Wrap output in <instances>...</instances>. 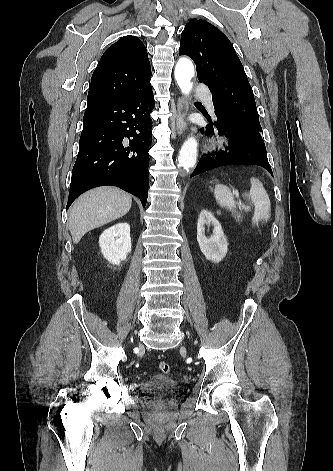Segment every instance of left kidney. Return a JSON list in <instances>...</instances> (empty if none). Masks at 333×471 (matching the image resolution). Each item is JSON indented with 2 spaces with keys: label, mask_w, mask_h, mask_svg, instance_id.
I'll list each match as a JSON object with an SVG mask.
<instances>
[{
  "label": "left kidney",
  "mask_w": 333,
  "mask_h": 471,
  "mask_svg": "<svg viewBox=\"0 0 333 471\" xmlns=\"http://www.w3.org/2000/svg\"><path fill=\"white\" fill-rule=\"evenodd\" d=\"M212 224L213 235L210 238L205 236L204 225ZM197 241L202 254L207 260L214 263L220 262L228 252V243L222 230L221 224L208 210H202L197 223Z\"/></svg>",
  "instance_id": "obj_1"
}]
</instances>
